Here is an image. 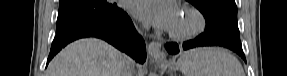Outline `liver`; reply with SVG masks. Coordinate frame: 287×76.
Returning a JSON list of instances; mask_svg holds the SVG:
<instances>
[{
    "label": "liver",
    "instance_id": "6515ba94",
    "mask_svg": "<svg viewBox=\"0 0 287 76\" xmlns=\"http://www.w3.org/2000/svg\"><path fill=\"white\" fill-rule=\"evenodd\" d=\"M127 56L96 38L67 45L50 62L47 76H122Z\"/></svg>",
    "mask_w": 287,
    "mask_h": 76
}]
</instances>
